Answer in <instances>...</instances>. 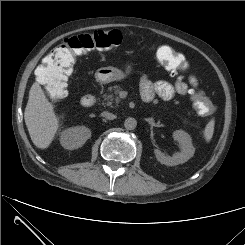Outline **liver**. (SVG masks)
Returning a JSON list of instances; mask_svg holds the SVG:
<instances>
[{
  "mask_svg": "<svg viewBox=\"0 0 245 245\" xmlns=\"http://www.w3.org/2000/svg\"><path fill=\"white\" fill-rule=\"evenodd\" d=\"M24 119L34 145L40 149L48 148L59 128V121L54 105L38 82L30 88Z\"/></svg>",
  "mask_w": 245,
  "mask_h": 245,
  "instance_id": "liver-1",
  "label": "liver"
}]
</instances>
